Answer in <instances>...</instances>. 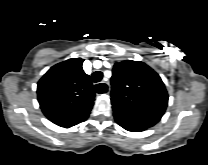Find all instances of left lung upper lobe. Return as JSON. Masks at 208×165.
I'll return each instance as SVG.
<instances>
[{
  "label": "left lung upper lobe",
  "mask_w": 208,
  "mask_h": 165,
  "mask_svg": "<svg viewBox=\"0 0 208 165\" xmlns=\"http://www.w3.org/2000/svg\"><path fill=\"white\" fill-rule=\"evenodd\" d=\"M111 103L116 120L152 127L168 105L160 76L141 61L116 63L111 77Z\"/></svg>",
  "instance_id": "5c2ea615"
}]
</instances>
